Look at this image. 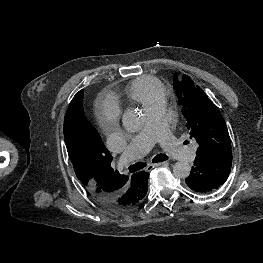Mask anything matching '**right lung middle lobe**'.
<instances>
[{
  "instance_id": "obj_1",
  "label": "right lung middle lobe",
  "mask_w": 263,
  "mask_h": 263,
  "mask_svg": "<svg viewBox=\"0 0 263 263\" xmlns=\"http://www.w3.org/2000/svg\"><path fill=\"white\" fill-rule=\"evenodd\" d=\"M82 102H83V90L79 92V97L75 102L74 107L69 116L70 124L76 126L79 129H85L88 127V122L83 112Z\"/></svg>"
}]
</instances>
